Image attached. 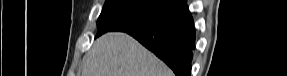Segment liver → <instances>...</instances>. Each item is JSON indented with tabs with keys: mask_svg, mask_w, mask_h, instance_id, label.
Masks as SVG:
<instances>
[{
	"mask_svg": "<svg viewBox=\"0 0 287 76\" xmlns=\"http://www.w3.org/2000/svg\"><path fill=\"white\" fill-rule=\"evenodd\" d=\"M82 76H172L153 53L126 33H107L82 60Z\"/></svg>",
	"mask_w": 287,
	"mask_h": 76,
	"instance_id": "liver-1",
	"label": "liver"
}]
</instances>
